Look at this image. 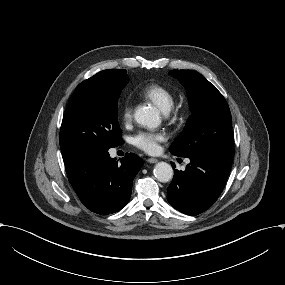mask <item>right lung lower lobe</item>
Segmentation results:
<instances>
[{
	"mask_svg": "<svg viewBox=\"0 0 285 285\" xmlns=\"http://www.w3.org/2000/svg\"><path fill=\"white\" fill-rule=\"evenodd\" d=\"M70 184L81 202L91 211L108 215L129 201L133 179L143 161L126 153L118 165L108 150L84 152L64 159Z\"/></svg>",
	"mask_w": 285,
	"mask_h": 285,
	"instance_id": "obj_1",
	"label": "right lung lower lobe"
}]
</instances>
